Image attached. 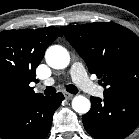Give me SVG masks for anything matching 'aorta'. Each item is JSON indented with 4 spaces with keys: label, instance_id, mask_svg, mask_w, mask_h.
<instances>
[{
    "label": "aorta",
    "instance_id": "762f6f07",
    "mask_svg": "<svg viewBox=\"0 0 139 139\" xmlns=\"http://www.w3.org/2000/svg\"><path fill=\"white\" fill-rule=\"evenodd\" d=\"M45 59L51 68L64 69L69 65L70 55L64 47L53 45L47 49ZM72 108L79 114H86L91 108V103L86 97L78 95L72 100Z\"/></svg>",
    "mask_w": 139,
    "mask_h": 139
}]
</instances>
